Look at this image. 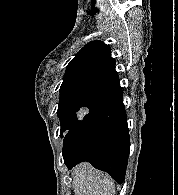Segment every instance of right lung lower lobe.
<instances>
[{"label": "right lung lower lobe", "mask_w": 178, "mask_h": 195, "mask_svg": "<svg viewBox=\"0 0 178 195\" xmlns=\"http://www.w3.org/2000/svg\"><path fill=\"white\" fill-rule=\"evenodd\" d=\"M68 169L89 162L118 183L125 179L130 139L120 85L98 95L83 119L63 140Z\"/></svg>", "instance_id": "obj_1"}]
</instances>
